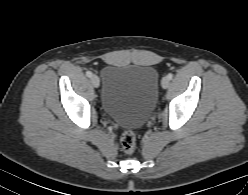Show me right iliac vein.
Instances as JSON below:
<instances>
[{"instance_id":"63e3f726","label":"right iliac vein","mask_w":248,"mask_h":195,"mask_svg":"<svg viewBox=\"0 0 248 195\" xmlns=\"http://www.w3.org/2000/svg\"><path fill=\"white\" fill-rule=\"evenodd\" d=\"M91 83H92V85L94 86V87H99V85H100V80H99V78L96 76V75H93L92 77H91Z\"/></svg>"}]
</instances>
